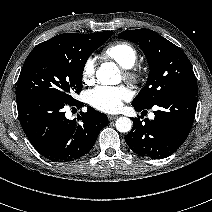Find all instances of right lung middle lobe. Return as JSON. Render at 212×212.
<instances>
[{
	"mask_svg": "<svg viewBox=\"0 0 212 212\" xmlns=\"http://www.w3.org/2000/svg\"><path fill=\"white\" fill-rule=\"evenodd\" d=\"M112 34V31L73 33L60 48H34L24 62L16 96L40 93L64 102L77 101L71 93L82 89V73L88 57Z\"/></svg>",
	"mask_w": 212,
	"mask_h": 212,
	"instance_id": "1",
	"label": "right lung middle lobe"
}]
</instances>
